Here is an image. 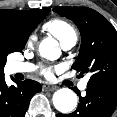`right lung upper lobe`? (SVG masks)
Masks as SVG:
<instances>
[{
    "mask_svg": "<svg viewBox=\"0 0 117 117\" xmlns=\"http://www.w3.org/2000/svg\"><path fill=\"white\" fill-rule=\"evenodd\" d=\"M49 8L33 10H3L0 9V23H7L18 27L27 38L41 22V18L49 13ZM42 19V20H43ZM4 67L0 66V77L4 75Z\"/></svg>",
    "mask_w": 117,
    "mask_h": 117,
    "instance_id": "1",
    "label": "right lung upper lobe"
}]
</instances>
